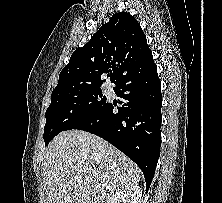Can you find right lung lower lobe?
Here are the masks:
<instances>
[{
  "label": "right lung lower lobe",
  "instance_id": "1",
  "mask_svg": "<svg viewBox=\"0 0 222 203\" xmlns=\"http://www.w3.org/2000/svg\"><path fill=\"white\" fill-rule=\"evenodd\" d=\"M118 102L106 101L66 130L79 129L102 137L142 170L149 189L160 155L161 82L153 59L128 71L115 82Z\"/></svg>",
  "mask_w": 222,
  "mask_h": 203
}]
</instances>
